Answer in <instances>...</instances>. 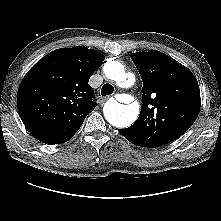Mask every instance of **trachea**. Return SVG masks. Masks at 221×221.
Returning <instances> with one entry per match:
<instances>
[{"mask_svg": "<svg viewBox=\"0 0 221 221\" xmlns=\"http://www.w3.org/2000/svg\"><path fill=\"white\" fill-rule=\"evenodd\" d=\"M114 92V87L111 84H104L102 89H101V95L106 96L110 95Z\"/></svg>", "mask_w": 221, "mask_h": 221, "instance_id": "trachea-1", "label": "trachea"}]
</instances>
